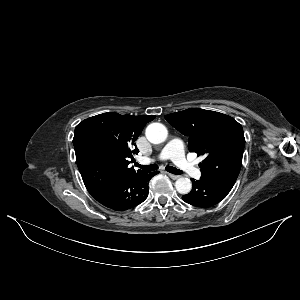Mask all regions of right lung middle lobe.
Masks as SVG:
<instances>
[{
  "label": "right lung middle lobe",
  "instance_id": "obj_1",
  "mask_svg": "<svg viewBox=\"0 0 300 300\" xmlns=\"http://www.w3.org/2000/svg\"><path fill=\"white\" fill-rule=\"evenodd\" d=\"M76 162L87 189L107 183L108 165L97 152L89 135H81L74 142Z\"/></svg>",
  "mask_w": 300,
  "mask_h": 300
}]
</instances>
